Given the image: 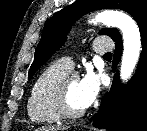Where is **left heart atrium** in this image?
Here are the masks:
<instances>
[{
    "mask_svg": "<svg viewBox=\"0 0 147 131\" xmlns=\"http://www.w3.org/2000/svg\"><path fill=\"white\" fill-rule=\"evenodd\" d=\"M101 86V76L91 70H88L79 80L80 100L84 108L94 103L100 93Z\"/></svg>",
    "mask_w": 147,
    "mask_h": 131,
    "instance_id": "1",
    "label": "left heart atrium"
}]
</instances>
